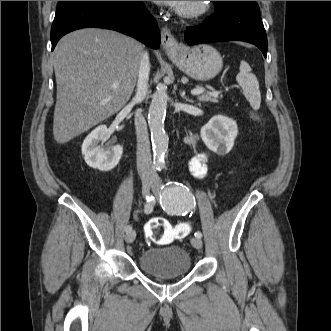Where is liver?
<instances>
[{
    "label": "liver",
    "mask_w": 331,
    "mask_h": 331,
    "mask_svg": "<svg viewBox=\"0 0 331 331\" xmlns=\"http://www.w3.org/2000/svg\"><path fill=\"white\" fill-rule=\"evenodd\" d=\"M53 55L57 83L53 135L64 144L126 105L143 46L111 30L85 28L62 37ZM113 83H118L116 89Z\"/></svg>",
    "instance_id": "liver-1"
}]
</instances>
